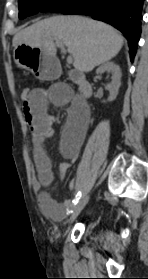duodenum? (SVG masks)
I'll use <instances>...</instances> for the list:
<instances>
[{"instance_id":"410a0bca","label":"duodenum","mask_w":148,"mask_h":279,"mask_svg":"<svg viewBox=\"0 0 148 279\" xmlns=\"http://www.w3.org/2000/svg\"><path fill=\"white\" fill-rule=\"evenodd\" d=\"M68 74L73 81L78 83L82 96H86V98H88L92 93L91 84L85 79L83 75L78 72L69 71Z\"/></svg>"}]
</instances>
